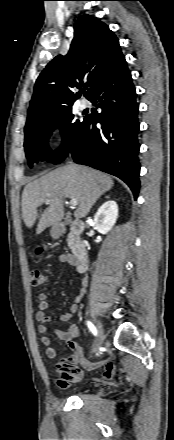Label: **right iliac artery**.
I'll return each mask as SVG.
<instances>
[{
  "label": "right iliac artery",
  "instance_id": "82829eb1",
  "mask_svg": "<svg viewBox=\"0 0 174 440\" xmlns=\"http://www.w3.org/2000/svg\"><path fill=\"white\" fill-rule=\"evenodd\" d=\"M87 325H88L90 331L96 336L97 335L96 327L89 321L87 322Z\"/></svg>",
  "mask_w": 174,
  "mask_h": 440
}]
</instances>
